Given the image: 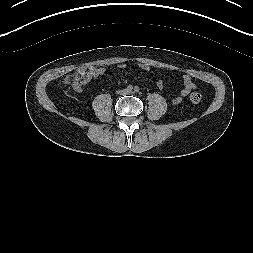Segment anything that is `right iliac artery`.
Returning a JSON list of instances; mask_svg holds the SVG:
<instances>
[{"label":"right iliac artery","instance_id":"right-iliac-artery-1","mask_svg":"<svg viewBox=\"0 0 253 253\" xmlns=\"http://www.w3.org/2000/svg\"><path fill=\"white\" fill-rule=\"evenodd\" d=\"M133 87L132 86H128V89H132Z\"/></svg>","mask_w":253,"mask_h":253}]
</instances>
